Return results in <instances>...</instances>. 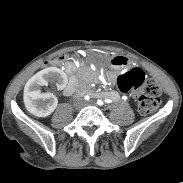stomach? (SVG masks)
Segmentation results:
<instances>
[{"label": "stomach", "instance_id": "1", "mask_svg": "<svg viewBox=\"0 0 183 183\" xmlns=\"http://www.w3.org/2000/svg\"><path fill=\"white\" fill-rule=\"evenodd\" d=\"M129 64H130V62H129L128 58L121 56V55L113 56L108 61V65L112 69H116V70L126 68L129 66Z\"/></svg>", "mask_w": 183, "mask_h": 183}]
</instances>
